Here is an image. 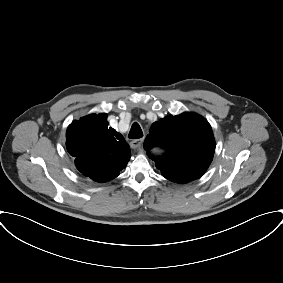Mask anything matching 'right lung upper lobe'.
I'll return each instance as SVG.
<instances>
[{
	"label": "right lung upper lobe",
	"instance_id": "cb5924a9",
	"mask_svg": "<svg viewBox=\"0 0 283 283\" xmlns=\"http://www.w3.org/2000/svg\"><path fill=\"white\" fill-rule=\"evenodd\" d=\"M106 114H92L73 121L67 129L66 148L75 166L96 182L117 177L131 157L129 145L114 129Z\"/></svg>",
	"mask_w": 283,
	"mask_h": 283
}]
</instances>
